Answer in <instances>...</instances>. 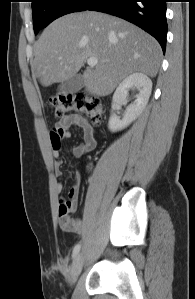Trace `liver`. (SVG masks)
<instances>
[{"label":"liver","instance_id":"liver-1","mask_svg":"<svg viewBox=\"0 0 195 299\" xmlns=\"http://www.w3.org/2000/svg\"><path fill=\"white\" fill-rule=\"evenodd\" d=\"M32 77L45 86L76 75L86 60H98L83 74L86 91L110 94L129 75L156 76L162 55L151 35L123 19L95 11L71 13L53 21L34 44Z\"/></svg>","mask_w":195,"mask_h":299}]
</instances>
